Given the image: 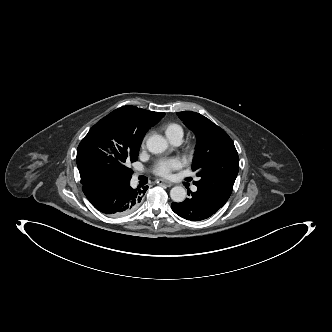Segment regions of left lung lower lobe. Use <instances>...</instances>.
<instances>
[{"label": "left lung lower lobe", "mask_w": 332, "mask_h": 332, "mask_svg": "<svg viewBox=\"0 0 332 332\" xmlns=\"http://www.w3.org/2000/svg\"><path fill=\"white\" fill-rule=\"evenodd\" d=\"M190 195V192H189ZM225 202L210 193L197 188L181 203H172V210L179 216L191 220L201 221L215 214Z\"/></svg>", "instance_id": "obj_1"}]
</instances>
